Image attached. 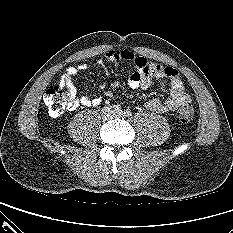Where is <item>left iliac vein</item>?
<instances>
[{
	"instance_id": "obj_1",
	"label": "left iliac vein",
	"mask_w": 233,
	"mask_h": 233,
	"mask_svg": "<svg viewBox=\"0 0 233 233\" xmlns=\"http://www.w3.org/2000/svg\"><path fill=\"white\" fill-rule=\"evenodd\" d=\"M115 116H117V117H122V116H123V113H122V112H117V113L115 114Z\"/></svg>"
}]
</instances>
